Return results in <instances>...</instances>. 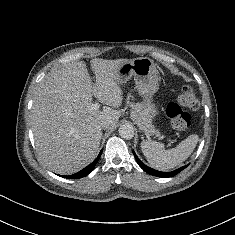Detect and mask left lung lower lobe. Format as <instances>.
<instances>
[{
  "label": "left lung lower lobe",
  "instance_id": "0a47b994",
  "mask_svg": "<svg viewBox=\"0 0 235 235\" xmlns=\"http://www.w3.org/2000/svg\"><path fill=\"white\" fill-rule=\"evenodd\" d=\"M133 154L137 160V163L138 165L145 171L147 172L148 174L150 175H153V176H158V177H172L176 174H178L179 172H181L183 169H185L188 165H185L181 168H178L172 172H161V171H157V170H154L148 166H146L145 164L142 163V161L136 156V154L134 153L133 151Z\"/></svg>",
  "mask_w": 235,
  "mask_h": 235
}]
</instances>
